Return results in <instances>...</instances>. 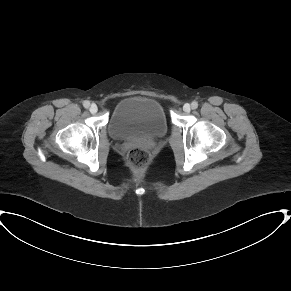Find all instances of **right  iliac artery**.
<instances>
[{"instance_id":"right-iliac-artery-1","label":"right iliac artery","mask_w":291,"mask_h":291,"mask_svg":"<svg viewBox=\"0 0 291 291\" xmlns=\"http://www.w3.org/2000/svg\"><path fill=\"white\" fill-rule=\"evenodd\" d=\"M83 106L85 107V108H88L89 106H90V102L89 101H84L83 102Z\"/></svg>"}]
</instances>
